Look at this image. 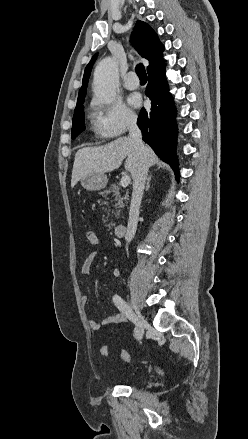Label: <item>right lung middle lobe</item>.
I'll use <instances>...</instances> for the list:
<instances>
[{
	"instance_id": "right-lung-middle-lobe-1",
	"label": "right lung middle lobe",
	"mask_w": 248,
	"mask_h": 439,
	"mask_svg": "<svg viewBox=\"0 0 248 439\" xmlns=\"http://www.w3.org/2000/svg\"><path fill=\"white\" fill-rule=\"evenodd\" d=\"M84 129V106H82L74 111L71 131L72 139L76 138L82 131H84Z\"/></svg>"
}]
</instances>
